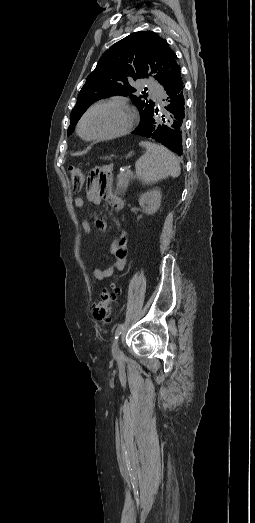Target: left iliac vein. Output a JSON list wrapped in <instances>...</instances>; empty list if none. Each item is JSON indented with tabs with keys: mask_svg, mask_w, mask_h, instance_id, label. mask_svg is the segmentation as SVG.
<instances>
[{
	"mask_svg": "<svg viewBox=\"0 0 255 523\" xmlns=\"http://www.w3.org/2000/svg\"><path fill=\"white\" fill-rule=\"evenodd\" d=\"M115 355L118 359H122V357H123V353L120 350L119 345H116V347H115Z\"/></svg>",
	"mask_w": 255,
	"mask_h": 523,
	"instance_id": "1",
	"label": "left iliac vein"
}]
</instances>
